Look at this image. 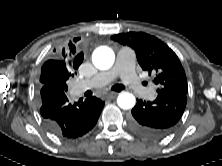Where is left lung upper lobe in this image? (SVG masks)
Listing matches in <instances>:
<instances>
[{"label": "left lung upper lobe", "instance_id": "5c2ea615", "mask_svg": "<svg viewBox=\"0 0 222 166\" xmlns=\"http://www.w3.org/2000/svg\"><path fill=\"white\" fill-rule=\"evenodd\" d=\"M112 40L133 48L143 70L155 75L160 90L188 91L184 69L177 55L161 40L142 32L113 35Z\"/></svg>", "mask_w": 222, "mask_h": 166}]
</instances>
